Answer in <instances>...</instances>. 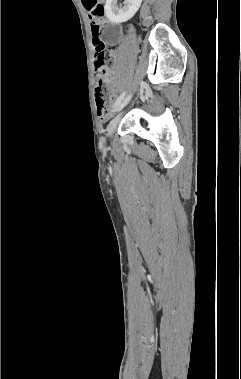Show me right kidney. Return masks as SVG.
Here are the masks:
<instances>
[{
	"label": "right kidney",
	"mask_w": 241,
	"mask_h": 379,
	"mask_svg": "<svg viewBox=\"0 0 241 379\" xmlns=\"http://www.w3.org/2000/svg\"><path fill=\"white\" fill-rule=\"evenodd\" d=\"M117 0H106L105 13L113 24H120L130 20L138 11L142 0H125L123 7H118Z\"/></svg>",
	"instance_id": "obj_1"
}]
</instances>
